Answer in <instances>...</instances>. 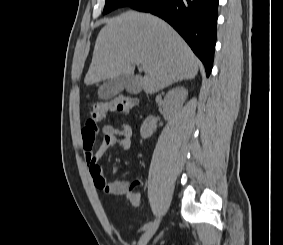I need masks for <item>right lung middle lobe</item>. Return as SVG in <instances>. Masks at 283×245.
<instances>
[{
	"mask_svg": "<svg viewBox=\"0 0 283 245\" xmlns=\"http://www.w3.org/2000/svg\"><path fill=\"white\" fill-rule=\"evenodd\" d=\"M139 1L140 0H106L103 14L109 13L119 7L132 6Z\"/></svg>",
	"mask_w": 283,
	"mask_h": 245,
	"instance_id": "1",
	"label": "right lung middle lobe"
}]
</instances>
